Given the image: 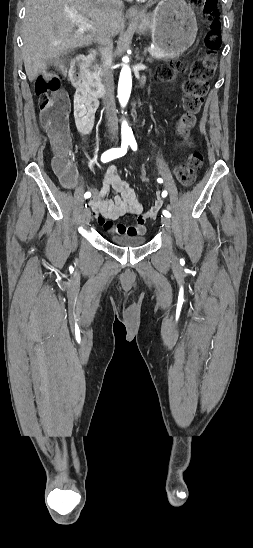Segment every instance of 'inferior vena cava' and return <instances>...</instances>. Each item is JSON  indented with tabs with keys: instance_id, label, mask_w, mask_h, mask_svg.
Wrapping results in <instances>:
<instances>
[{
	"instance_id": "obj_1",
	"label": "inferior vena cava",
	"mask_w": 253,
	"mask_h": 548,
	"mask_svg": "<svg viewBox=\"0 0 253 548\" xmlns=\"http://www.w3.org/2000/svg\"><path fill=\"white\" fill-rule=\"evenodd\" d=\"M114 3H116L118 6H123L122 0H114ZM99 44H101V47L99 48L100 55H101V76H102V82L106 89V94L102 99V103L104 108L106 109V113L101 114V119L104 121V125L108 126L109 134L112 138L117 139V115H116V107L114 102V95H113V79L112 74L109 70V61H110V53L112 52L113 48V42H112V33L109 31H104L100 38H99ZM107 120V121H106Z\"/></svg>"
}]
</instances>
